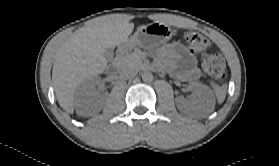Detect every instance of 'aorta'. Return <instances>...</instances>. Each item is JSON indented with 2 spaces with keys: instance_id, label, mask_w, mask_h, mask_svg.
I'll list each match as a JSON object with an SVG mask.
<instances>
[{
  "instance_id": "aorta-1",
  "label": "aorta",
  "mask_w": 279,
  "mask_h": 166,
  "mask_svg": "<svg viewBox=\"0 0 279 166\" xmlns=\"http://www.w3.org/2000/svg\"><path fill=\"white\" fill-rule=\"evenodd\" d=\"M142 80L144 82H152L153 81V74L150 71H146L142 74Z\"/></svg>"
}]
</instances>
